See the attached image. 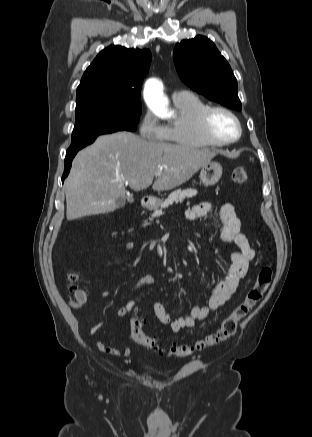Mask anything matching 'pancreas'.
Segmentation results:
<instances>
[{"label": "pancreas", "instance_id": "pancreas-1", "mask_svg": "<svg viewBox=\"0 0 312 437\" xmlns=\"http://www.w3.org/2000/svg\"><path fill=\"white\" fill-rule=\"evenodd\" d=\"M197 191L195 189H187V190H176L172 192L168 198L161 203L160 209L155 210V212L151 215V218L159 217L163 214L162 209L168 208L170 205H173L174 203L182 202L185 198H191L193 196H196Z\"/></svg>", "mask_w": 312, "mask_h": 437}]
</instances>
